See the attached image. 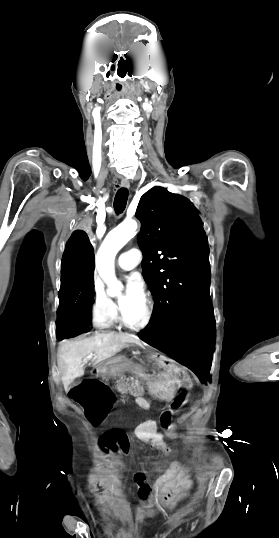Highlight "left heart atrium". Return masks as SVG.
Returning a JSON list of instances; mask_svg holds the SVG:
<instances>
[{"label": "left heart atrium", "instance_id": "left-heart-atrium-1", "mask_svg": "<svg viewBox=\"0 0 279 538\" xmlns=\"http://www.w3.org/2000/svg\"><path fill=\"white\" fill-rule=\"evenodd\" d=\"M142 286L141 283L133 277L127 278V296H142Z\"/></svg>", "mask_w": 279, "mask_h": 538}]
</instances>
